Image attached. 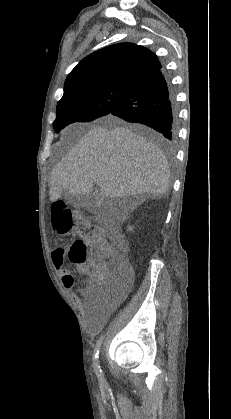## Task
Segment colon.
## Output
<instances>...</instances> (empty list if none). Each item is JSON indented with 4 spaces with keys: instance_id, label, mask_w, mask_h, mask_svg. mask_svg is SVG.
<instances>
[{
    "instance_id": "5ec220e1",
    "label": "colon",
    "mask_w": 231,
    "mask_h": 419,
    "mask_svg": "<svg viewBox=\"0 0 231 419\" xmlns=\"http://www.w3.org/2000/svg\"><path fill=\"white\" fill-rule=\"evenodd\" d=\"M53 226L61 234L77 233L80 238L70 246L68 257L74 264H84L94 284H106L116 291L122 282L129 280L131 267L127 260L104 241L97 228L83 216L73 213L64 203L52 206ZM59 255V251L53 253ZM64 261V260H63ZM55 262L62 263L61 257Z\"/></svg>"
}]
</instances>
